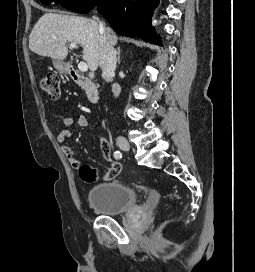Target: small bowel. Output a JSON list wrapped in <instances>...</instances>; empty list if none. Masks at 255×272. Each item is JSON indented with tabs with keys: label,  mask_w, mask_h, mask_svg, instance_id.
Masks as SVG:
<instances>
[{
	"label": "small bowel",
	"mask_w": 255,
	"mask_h": 272,
	"mask_svg": "<svg viewBox=\"0 0 255 272\" xmlns=\"http://www.w3.org/2000/svg\"><path fill=\"white\" fill-rule=\"evenodd\" d=\"M62 124L64 129L61 130L57 135V141L65 153L69 163L73 167H79L81 164L80 159L78 158L77 154L68 146L67 141L71 137L72 129L74 127L83 129L88 125V118L85 114H80L76 120H74L72 117L65 116L62 118ZM99 143L104 157L111 162V168L106 174L99 177L97 180L109 181L114 179L119 174L121 170V164L118 161L111 159V144L106 138H100Z\"/></svg>",
	"instance_id": "c3829d8e"
}]
</instances>
